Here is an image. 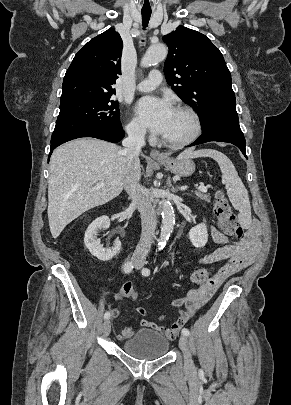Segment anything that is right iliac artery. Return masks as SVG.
<instances>
[{
	"label": "right iliac artery",
	"instance_id": "82829eb1",
	"mask_svg": "<svg viewBox=\"0 0 291 405\" xmlns=\"http://www.w3.org/2000/svg\"><path fill=\"white\" fill-rule=\"evenodd\" d=\"M123 269H124V272H125V273H130V272L133 270V264H132V262H127V263H125ZM109 318H110V312L107 311V312H105V314H104V319H109Z\"/></svg>",
	"mask_w": 291,
	"mask_h": 405
}]
</instances>
